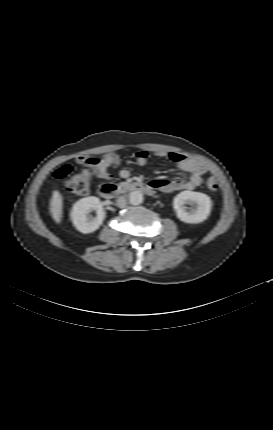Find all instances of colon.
<instances>
[{
  "label": "colon",
  "mask_w": 273,
  "mask_h": 430,
  "mask_svg": "<svg viewBox=\"0 0 273 430\" xmlns=\"http://www.w3.org/2000/svg\"><path fill=\"white\" fill-rule=\"evenodd\" d=\"M81 164L86 165L84 162L79 161ZM56 180L64 182L66 189L76 194H85L89 188L90 173L84 169L76 171L71 165H62L56 169L54 173ZM206 188L214 192L218 189L217 181L210 177L206 181Z\"/></svg>",
  "instance_id": "1"
}]
</instances>
